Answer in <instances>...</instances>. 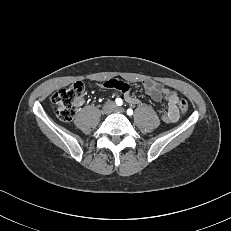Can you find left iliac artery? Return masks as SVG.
Wrapping results in <instances>:
<instances>
[{
	"label": "left iliac artery",
	"instance_id": "obj_1",
	"mask_svg": "<svg viewBox=\"0 0 231 231\" xmlns=\"http://www.w3.org/2000/svg\"><path fill=\"white\" fill-rule=\"evenodd\" d=\"M127 114H128V115H132V114H133V110H132V109H128V110H127Z\"/></svg>",
	"mask_w": 231,
	"mask_h": 231
}]
</instances>
